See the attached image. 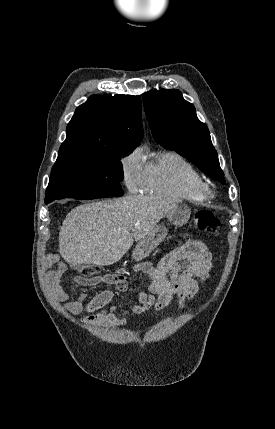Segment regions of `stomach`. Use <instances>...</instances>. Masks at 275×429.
Returning a JSON list of instances; mask_svg holds the SVG:
<instances>
[{"instance_id": "obj_1", "label": "stomach", "mask_w": 275, "mask_h": 429, "mask_svg": "<svg viewBox=\"0 0 275 429\" xmlns=\"http://www.w3.org/2000/svg\"><path fill=\"white\" fill-rule=\"evenodd\" d=\"M191 210L185 204H177L176 207L166 214L170 224L174 226H183L190 218ZM168 229L163 225H157L150 234L141 239L134 251L133 258L137 261L147 257L167 236Z\"/></svg>"}]
</instances>
